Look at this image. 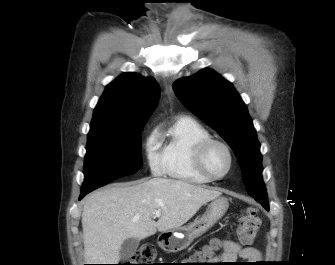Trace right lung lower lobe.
Returning <instances> with one entry per match:
<instances>
[{"instance_id":"1","label":"right lung lower lobe","mask_w":335,"mask_h":265,"mask_svg":"<svg viewBox=\"0 0 335 265\" xmlns=\"http://www.w3.org/2000/svg\"><path fill=\"white\" fill-rule=\"evenodd\" d=\"M87 193L86 192H81V195L79 197V200H81Z\"/></svg>"}]
</instances>
